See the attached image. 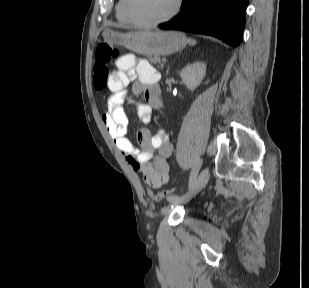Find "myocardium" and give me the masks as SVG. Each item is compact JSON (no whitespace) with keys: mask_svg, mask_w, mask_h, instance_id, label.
Wrapping results in <instances>:
<instances>
[{"mask_svg":"<svg viewBox=\"0 0 309 288\" xmlns=\"http://www.w3.org/2000/svg\"><path fill=\"white\" fill-rule=\"evenodd\" d=\"M129 3L130 0H123V13L131 25L139 28H148L165 23L174 18L182 7V0H175L173 9L167 15L151 21H141L132 15Z\"/></svg>","mask_w":309,"mask_h":288,"instance_id":"obj_1","label":"myocardium"}]
</instances>
